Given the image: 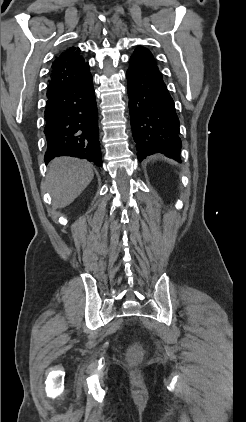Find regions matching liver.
Here are the masks:
<instances>
[{
	"instance_id": "6515ba94",
	"label": "liver",
	"mask_w": 246,
	"mask_h": 422,
	"mask_svg": "<svg viewBox=\"0 0 246 422\" xmlns=\"http://www.w3.org/2000/svg\"><path fill=\"white\" fill-rule=\"evenodd\" d=\"M94 177L92 165L85 160L59 157L51 161L45 187L53 198L54 208L71 204Z\"/></svg>"
}]
</instances>
